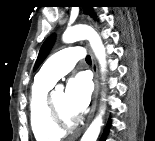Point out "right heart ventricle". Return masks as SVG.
<instances>
[{
    "label": "right heart ventricle",
    "mask_w": 155,
    "mask_h": 141,
    "mask_svg": "<svg viewBox=\"0 0 155 141\" xmlns=\"http://www.w3.org/2000/svg\"><path fill=\"white\" fill-rule=\"evenodd\" d=\"M53 85V82L36 78L31 88L30 123L34 137L38 141H57L63 136V132L57 130L47 116L46 98Z\"/></svg>",
    "instance_id": "right-heart-ventricle-1"
}]
</instances>
